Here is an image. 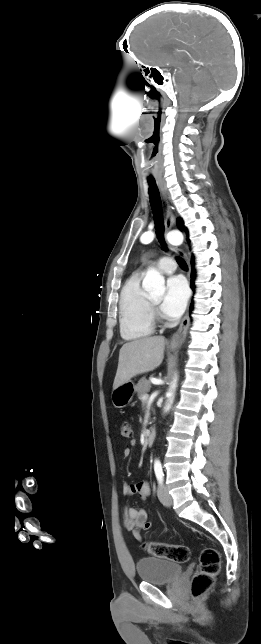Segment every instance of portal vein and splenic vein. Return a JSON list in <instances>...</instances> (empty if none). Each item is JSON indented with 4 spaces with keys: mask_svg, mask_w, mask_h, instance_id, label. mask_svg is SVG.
Here are the masks:
<instances>
[{
    "mask_svg": "<svg viewBox=\"0 0 261 644\" xmlns=\"http://www.w3.org/2000/svg\"><path fill=\"white\" fill-rule=\"evenodd\" d=\"M148 398H149L148 394H145V395L142 396V399L145 400V401L148 400Z\"/></svg>",
    "mask_w": 261,
    "mask_h": 644,
    "instance_id": "18ae733b",
    "label": "portal vein and splenic vein"
}]
</instances>
